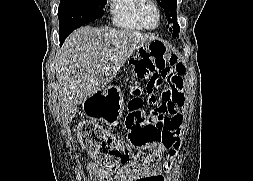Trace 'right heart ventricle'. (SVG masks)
Returning a JSON list of instances; mask_svg holds the SVG:
<instances>
[{
    "label": "right heart ventricle",
    "instance_id": "e07e8e85",
    "mask_svg": "<svg viewBox=\"0 0 253 181\" xmlns=\"http://www.w3.org/2000/svg\"><path fill=\"white\" fill-rule=\"evenodd\" d=\"M140 1L141 0H108V10L112 24L125 31H143L144 28L137 18V8Z\"/></svg>",
    "mask_w": 253,
    "mask_h": 181
}]
</instances>
